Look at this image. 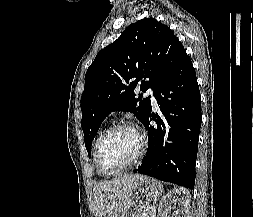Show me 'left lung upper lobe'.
Masks as SVG:
<instances>
[{
  "label": "left lung upper lobe",
  "mask_w": 253,
  "mask_h": 217,
  "mask_svg": "<svg viewBox=\"0 0 253 217\" xmlns=\"http://www.w3.org/2000/svg\"><path fill=\"white\" fill-rule=\"evenodd\" d=\"M185 54L173 31L154 18L130 24L121 36L102 49L85 76L81 97L84 142L90 146L102 121L112 111H130L143 122L151 107L150 96L135 97L140 86L153 91Z\"/></svg>",
  "instance_id": "obj_1"
}]
</instances>
